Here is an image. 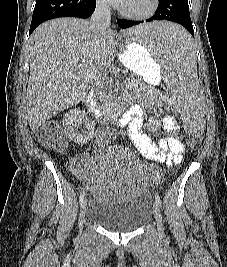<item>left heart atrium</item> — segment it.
Wrapping results in <instances>:
<instances>
[{"instance_id": "1", "label": "left heart atrium", "mask_w": 227, "mask_h": 267, "mask_svg": "<svg viewBox=\"0 0 227 267\" xmlns=\"http://www.w3.org/2000/svg\"><path fill=\"white\" fill-rule=\"evenodd\" d=\"M112 3L124 7L129 0H110Z\"/></svg>"}]
</instances>
